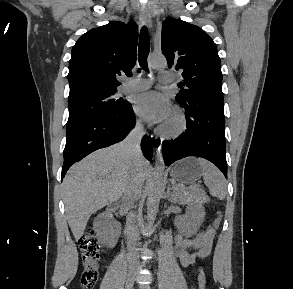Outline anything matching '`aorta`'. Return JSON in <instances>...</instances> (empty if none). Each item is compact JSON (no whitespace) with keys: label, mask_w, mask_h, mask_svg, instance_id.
<instances>
[{"label":"aorta","mask_w":293,"mask_h":289,"mask_svg":"<svg viewBox=\"0 0 293 289\" xmlns=\"http://www.w3.org/2000/svg\"><path fill=\"white\" fill-rule=\"evenodd\" d=\"M149 67L159 69L166 67L167 63L164 57L152 56L148 61ZM165 164L162 152H157L152 182L148 191L147 198V221L149 225L154 223L158 210L161 194L165 186Z\"/></svg>","instance_id":"762f6f07"}]
</instances>
